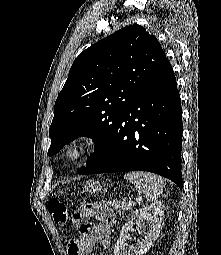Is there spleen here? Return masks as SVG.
Wrapping results in <instances>:
<instances>
[{
	"instance_id": "obj_1",
	"label": "spleen",
	"mask_w": 221,
	"mask_h": 255,
	"mask_svg": "<svg viewBox=\"0 0 221 255\" xmlns=\"http://www.w3.org/2000/svg\"><path fill=\"white\" fill-rule=\"evenodd\" d=\"M136 189L143 192L149 201L158 199L165 187V180L161 176L149 172H131L124 175Z\"/></svg>"
}]
</instances>
